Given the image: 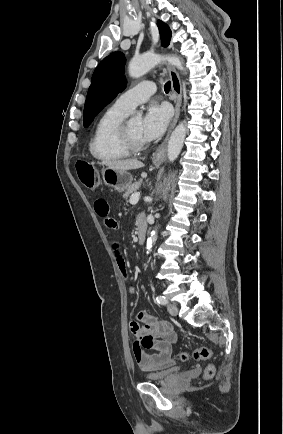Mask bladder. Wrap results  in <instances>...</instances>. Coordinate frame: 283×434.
I'll return each instance as SVG.
<instances>
[{
    "mask_svg": "<svg viewBox=\"0 0 283 434\" xmlns=\"http://www.w3.org/2000/svg\"><path fill=\"white\" fill-rule=\"evenodd\" d=\"M177 372V368H169L161 371L148 372L144 375V377L148 381H164L174 377Z\"/></svg>",
    "mask_w": 283,
    "mask_h": 434,
    "instance_id": "31cf9c89",
    "label": "bladder"
}]
</instances>
